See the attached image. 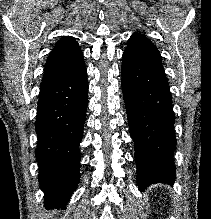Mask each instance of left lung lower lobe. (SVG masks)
<instances>
[{"mask_svg": "<svg viewBox=\"0 0 211 219\" xmlns=\"http://www.w3.org/2000/svg\"><path fill=\"white\" fill-rule=\"evenodd\" d=\"M122 90L135 144L137 183H172L177 144L168 81L157 47L144 35H132L123 53Z\"/></svg>", "mask_w": 211, "mask_h": 219, "instance_id": "0a47b994", "label": "left lung lower lobe"}]
</instances>
